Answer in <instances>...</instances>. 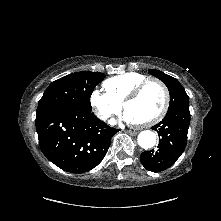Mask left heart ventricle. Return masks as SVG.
Returning <instances> with one entry per match:
<instances>
[{"label":"left heart ventricle","instance_id":"left-heart-ventricle-1","mask_svg":"<svg viewBox=\"0 0 221 221\" xmlns=\"http://www.w3.org/2000/svg\"><path fill=\"white\" fill-rule=\"evenodd\" d=\"M163 93L158 85L149 84L142 93L126 105V111L132 116L135 123L146 121L155 116L162 108Z\"/></svg>","mask_w":221,"mask_h":221}]
</instances>
